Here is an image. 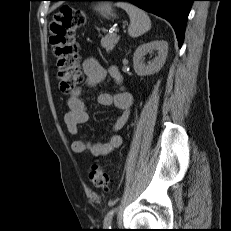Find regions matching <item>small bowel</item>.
<instances>
[{
    "label": "small bowel",
    "instance_id": "c3829d8e",
    "mask_svg": "<svg viewBox=\"0 0 231 231\" xmlns=\"http://www.w3.org/2000/svg\"><path fill=\"white\" fill-rule=\"evenodd\" d=\"M83 71L86 76V84L95 86L101 83L107 76L113 78L116 82L122 81V75L116 66L104 68L95 58H87L83 61ZM98 102L102 106L114 105L122 110V113L116 118L112 125L113 131L121 130L127 123L130 110L133 103L132 95L127 91H121L115 94L101 93L98 96ZM89 119V113L86 103L81 97V90L77 88L67 99V112L64 116L69 134L76 135L78 128ZM122 138L113 134L105 141L96 142L93 140H76L71 144L73 152L78 154H90L95 157L105 156L114 149L120 147Z\"/></svg>",
    "mask_w": 231,
    "mask_h": 231
}]
</instances>
